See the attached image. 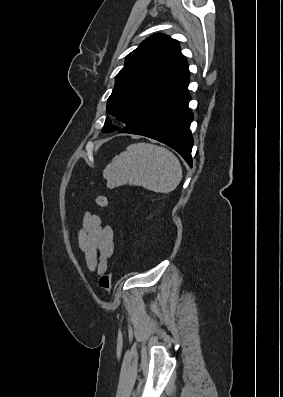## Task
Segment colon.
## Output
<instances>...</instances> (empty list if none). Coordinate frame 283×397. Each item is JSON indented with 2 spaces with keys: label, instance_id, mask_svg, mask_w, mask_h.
<instances>
[{
  "label": "colon",
  "instance_id": "colon-1",
  "mask_svg": "<svg viewBox=\"0 0 283 397\" xmlns=\"http://www.w3.org/2000/svg\"><path fill=\"white\" fill-rule=\"evenodd\" d=\"M96 201H97V204L102 208H105L108 206V198L105 195H99L97 197ZM112 281H113L112 273H106L100 277L99 286L102 290L109 291L112 286Z\"/></svg>",
  "mask_w": 283,
  "mask_h": 397
}]
</instances>
